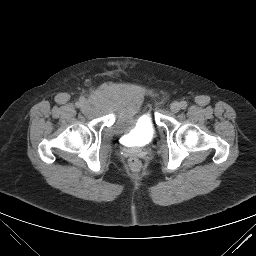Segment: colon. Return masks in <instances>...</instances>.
Wrapping results in <instances>:
<instances>
[{"label": "colon", "mask_w": 256, "mask_h": 256, "mask_svg": "<svg viewBox=\"0 0 256 256\" xmlns=\"http://www.w3.org/2000/svg\"><path fill=\"white\" fill-rule=\"evenodd\" d=\"M128 164L132 171H138L141 167V162L136 157L129 158Z\"/></svg>", "instance_id": "5ec220e1"}]
</instances>
